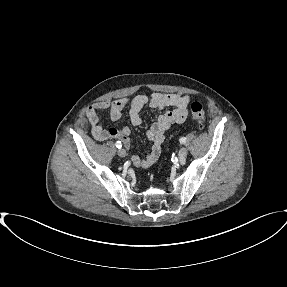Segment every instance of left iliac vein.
<instances>
[{
  "mask_svg": "<svg viewBox=\"0 0 287 287\" xmlns=\"http://www.w3.org/2000/svg\"><path fill=\"white\" fill-rule=\"evenodd\" d=\"M187 149L185 147L180 148L179 152H178V157L180 160H184L187 156Z\"/></svg>",
  "mask_w": 287,
  "mask_h": 287,
  "instance_id": "4c4485c4",
  "label": "left iliac vein"
}]
</instances>
